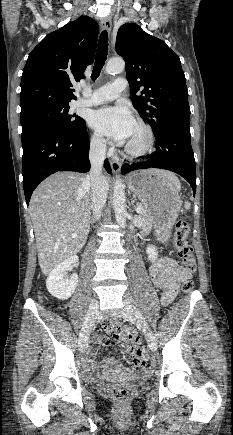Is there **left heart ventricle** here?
<instances>
[{
    "mask_svg": "<svg viewBox=\"0 0 233 435\" xmlns=\"http://www.w3.org/2000/svg\"><path fill=\"white\" fill-rule=\"evenodd\" d=\"M145 140L146 135L144 131L140 127L134 125L129 137L125 142V146L137 149L144 144Z\"/></svg>",
    "mask_w": 233,
    "mask_h": 435,
    "instance_id": "1",
    "label": "left heart ventricle"
}]
</instances>
